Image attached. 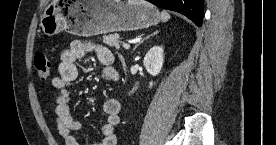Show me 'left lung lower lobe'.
<instances>
[{
    "instance_id": "left-lung-lower-lobe-1",
    "label": "left lung lower lobe",
    "mask_w": 276,
    "mask_h": 145,
    "mask_svg": "<svg viewBox=\"0 0 276 145\" xmlns=\"http://www.w3.org/2000/svg\"><path fill=\"white\" fill-rule=\"evenodd\" d=\"M153 4L187 16L197 26L203 21V0H148Z\"/></svg>"
}]
</instances>
